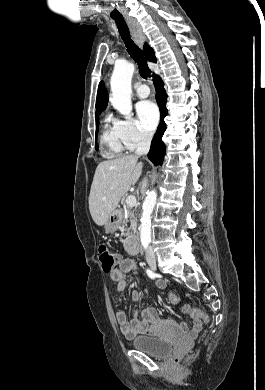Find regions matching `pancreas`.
Returning a JSON list of instances; mask_svg holds the SVG:
<instances>
[{
	"label": "pancreas",
	"instance_id": "cf45deb5",
	"mask_svg": "<svg viewBox=\"0 0 265 390\" xmlns=\"http://www.w3.org/2000/svg\"><path fill=\"white\" fill-rule=\"evenodd\" d=\"M122 215V223L126 224L130 222V227L126 229V232H123V236H127L128 238H131L137 231V218L134 215V211L132 207H126L121 211ZM126 242V240H125Z\"/></svg>",
	"mask_w": 265,
	"mask_h": 390
}]
</instances>
